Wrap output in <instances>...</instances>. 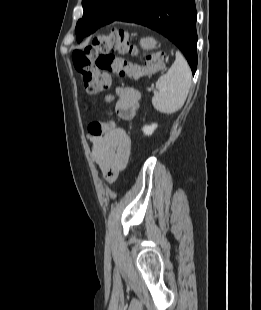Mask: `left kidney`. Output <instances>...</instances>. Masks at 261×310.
Returning a JSON list of instances; mask_svg holds the SVG:
<instances>
[{"mask_svg":"<svg viewBox=\"0 0 261 310\" xmlns=\"http://www.w3.org/2000/svg\"><path fill=\"white\" fill-rule=\"evenodd\" d=\"M157 128V124H152L150 126L146 125L143 127V132L145 135L150 136L153 134L154 130Z\"/></svg>","mask_w":261,"mask_h":310,"instance_id":"obj_1","label":"left kidney"}]
</instances>
